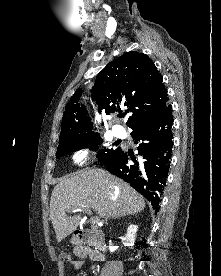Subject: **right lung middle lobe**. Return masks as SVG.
<instances>
[{"label":"right lung middle lobe","instance_id":"1","mask_svg":"<svg viewBox=\"0 0 221 276\" xmlns=\"http://www.w3.org/2000/svg\"><path fill=\"white\" fill-rule=\"evenodd\" d=\"M102 139L98 133L88 134L82 137L74 138L59 142L56 157L59 158L69 152H75L81 149L90 148L96 151L98 145L102 144ZM121 151V148L116 149H101L98 154V161L104 164L111 160Z\"/></svg>","mask_w":221,"mask_h":276}]
</instances>
